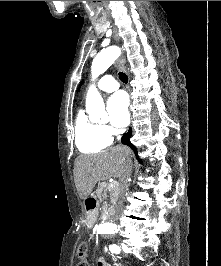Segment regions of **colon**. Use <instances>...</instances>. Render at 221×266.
<instances>
[{"label":"colon","instance_id":"1","mask_svg":"<svg viewBox=\"0 0 221 266\" xmlns=\"http://www.w3.org/2000/svg\"><path fill=\"white\" fill-rule=\"evenodd\" d=\"M86 251V246L82 245L80 248V256H83ZM77 266H89V264L85 261H81L78 263Z\"/></svg>","mask_w":221,"mask_h":266}]
</instances>
